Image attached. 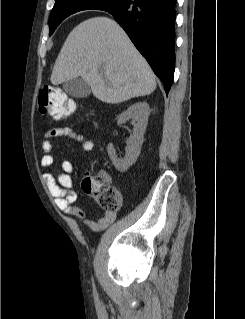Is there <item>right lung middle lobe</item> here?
Here are the masks:
<instances>
[{"label": "right lung middle lobe", "instance_id": "1", "mask_svg": "<svg viewBox=\"0 0 245 319\" xmlns=\"http://www.w3.org/2000/svg\"><path fill=\"white\" fill-rule=\"evenodd\" d=\"M123 0H55L50 16L51 35L56 27L69 15L85 9H110L119 5Z\"/></svg>", "mask_w": 245, "mask_h": 319}]
</instances>
